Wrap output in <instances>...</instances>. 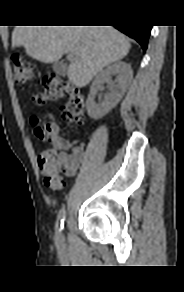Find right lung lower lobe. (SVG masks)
Segmentation results:
<instances>
[{
    "label": "right lung lower lobe",
    "mask_w": 184,
    "mask_h": 292,
    "mask_svg": "<svg viewBox=\"0 0 184 292\" xmlns=\"http://www.w3.org/2000/svg\"><path fill=\"white\" fill-rule=\"evenodd\" d=\"M118 30L135 39L145 51L152 26L149 25H115Z\"/></svg>",
    "instance_id": "obj_1"
}]
</instances>
